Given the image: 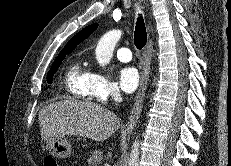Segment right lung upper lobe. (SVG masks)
I'll list each match as a JSON object with an SVG mask.
<instances>
[{
	"label": "right lung upper lobe",
	"instance_id": "cb5924a9",
	"mask_svg": "<svg viewBox=\"0 0 231 166\" xmlns=\"http://www.w3.org/2000/svg\"><path fill=\"white\" fill-rule=\"evenodd\" d=\"M98 27V24H92L87 27H85L83 30L78 32L76 35H74L68 43L65 45V47L61 50L59 54L64 53H71L78 44H80L82 41H84L89 35Z\"/></svg>",
	"mask_w": 231,
	"mask_h": 166
}]
</instances>
